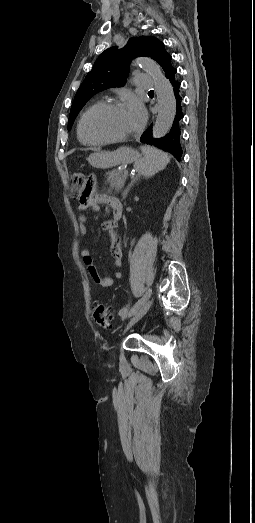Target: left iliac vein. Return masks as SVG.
<instances>
[{
	"instance_id": "obj_1",
	"label": "left iliac vein",
	"mask_w": 255,
	"mask_h": 523,
	"mask_svg": "<svg viewBox=\"0 0 255 523\" xmlns=\"http://www.w3.org/2000/svg\"><path fill=\"white\" fill-rule=\"evenodd\" d=\"M152 305V300L146 301L135 313L133 318L130 320V322L127 324L124 332H126L129 328H131L136 322H138L150 309Z\"/></svg>"
}]
</instances>
